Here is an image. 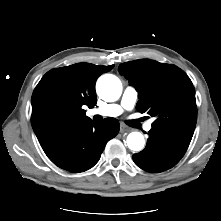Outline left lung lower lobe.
<instances>
[{
  "label": "left lung lower lobe",
  "instance_id": "0a47b994",
  "mask_svg": "<svg viewBox=\"0 0 221 221\" xmlns=\"http://www.w3.org/2000/svg\"><path fill=\"white\" fill-rule=\"evenodd\" d=\"M144 150L133 155L135 164L141 169L158 173L179 162L190 142L180 139L165 131L151 129Z\"/></svg>",
  "mask_w": 221,
  "mask_h": 221
}]
</instances>
